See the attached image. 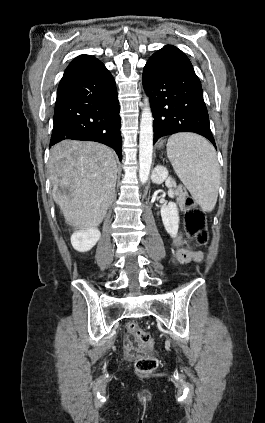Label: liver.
<instances>
[{
    "label": "liver",
    "instance_id": "6515ba94",
    "mask_svg": "<svg viewBox=\"0 0 265 423\" xmlns=\"http://www.w3.org/2000/svg\"><path fill=\"white\" fill-rule=\"evenodd\" d=\"M49 171L66 223L77 230L97 227L114 197V152L100 143L64 140L51 148Z\"/></svg>",
    "mask_w": 265,
    "mask_h": 423
}]
</instances>
